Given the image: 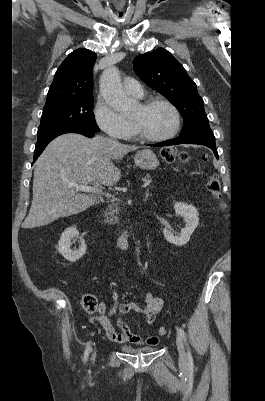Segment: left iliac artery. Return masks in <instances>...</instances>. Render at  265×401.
<instances>
[{"mask_svg":"<svg viewBox=\"0 0 265 401\" xmlns=\"http://www.w3.org/2000/svg\"><path fill=\"white\" fill-rule=\"evenodd\" d=\"M177 331H178L179 335L184 339V341H186V333L184 332V330L181 327H178ZM187 357H188V366L190 369H193L194 368L193 358H192L191 351L189 348H188V352H187Z\"/></svg>","mask_w":265,"mask_h":401,"instance_id":"obj_1","label":"left iliac artery"}]
</instances>
